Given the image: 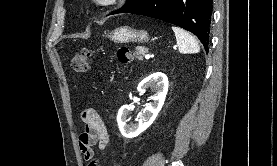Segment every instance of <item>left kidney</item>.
Listing matches in <instances>:
<instances>
[{
	"mask_svg": "<svg viewBox=\"0 0 277 166\" xmlns=\"http://www.w3.org/2000/svg\"><path fill=\"white\" fill-rule=\"evenodd\" d=\"M168 86V78L161 72L153 73L139 83L137 90L141 94H144L147 88H153L155 91L154 97L152 98L153 102L147 104L139 122L131 126L127 124L131 111L130 105H124L120 108L117 115V123L120 132L124 137H137L154 122L164 104L168 92Z\"/></svg>",
	"mask_w": 277,
	"mask_h": 166,
	"instance_id": "left-kidney-1",
	"label": "left kidney"
}]
</instances>
